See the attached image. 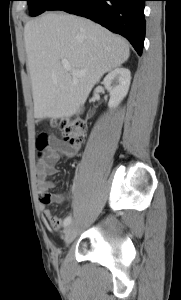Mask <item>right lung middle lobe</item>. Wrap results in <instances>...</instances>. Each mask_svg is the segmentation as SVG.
Here are the masks:
<instances>
[{
    "instance_id": "1",
    "label": "right lung middle lobe",
    "mask_w": 181,
    "mask_h": 300,
    "mask_svg": "<svg viewBox=\"0 0 181 300\" xmlns=\"http://www.w3.org/2000/svg\"><path fill=\"white\" fill-rule=\"evenodd\" d=\"M30 8V15L37 16L46 10H52L59 0H26Z\"/></svg>"
}]
</instances>
